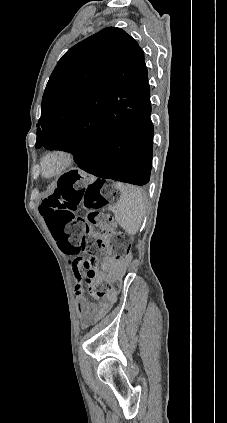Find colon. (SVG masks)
Here are the masks:
<instances>
[{
	"mask_svg": "<svg viewBox=\"0 0 227 423\" xmlns=\"http://www.w3.org/2000/svg\"><path fill=\"white\" fill-rule=\"evenodd\" d=\"M115 196L116 192L110 185L99 181L89 182L79 174L70 172L59 179L57 187L40 205V213L59 248L69 255L77 256L81 252L89 255L71 260L70 267L75 285L85 280L96 298L106 296L108 289L97 278L94 256L107 248L105 232L112 230L114 225L112 217L100 210ZM81 205L91 210L86 218L77 214ZM92 227L96 229L92 230ZM109 246L116 260L130 258V236L113 232Z\"/></svg>",
	"mask_w": 227,
	"mask_h": 423,
	"instance_id": "colon-1",
	"label": "colon"
}]
</instances>
